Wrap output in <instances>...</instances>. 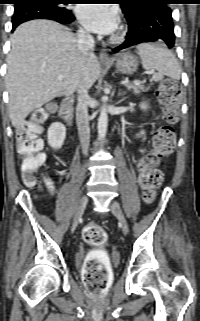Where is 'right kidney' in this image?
<instances>
[{
	"mask_svg": "<svg viewBox=\"0 0 200 321\" xmlns=\"http://www.w3.org/2000/svg\"><path fill=\"white\" fill-rule=\"evenodd\" d=\"M66 137V128L62 123H52L47 131L48 144L53 149H60Z\"/></svg>",
	"mask_w": 200,
	"mask_h": 321,
	"instance_id": "right-kidney-1",
	"label": "right kidney"
}]
</instances>
